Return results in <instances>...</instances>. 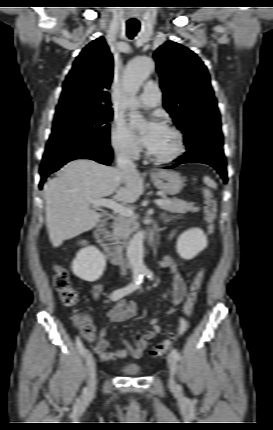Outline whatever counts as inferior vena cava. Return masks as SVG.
Returning <instances> with one entry per match:
<instances>
[{
    "instance_id": "obj_1",
    "label": "inferior vena cava",
    "mask_w": 273,
    "mask_h": 430,
    "mask_svg": "<svg viewBox=\"0 0 273 430\" xmlns=\"http://www.w3.org/2000/svg\"><path fill=\"white\" fill-rule=\"evenodd\" d=\"M116 162H117L118 169L122 171H130V170L136 169V165L128 155L118 153L116 155ZM121 270H122V274L124 275L125 273L124 266H122Z\"/></svg>"
}]
</instances>
